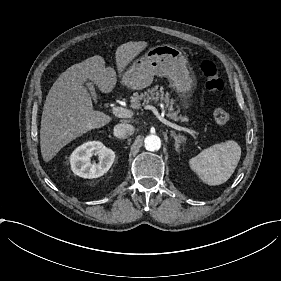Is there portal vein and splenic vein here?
Instances as JSON below:
<instances>
[{
  "label": "portal vein and splenic vein",
  "mask_w": 281,
  "mask_h": 281,
  "mask_svg": "<svg viewBox=\"0 0 281 281\" xmlns=\"http://www.w3.org/2000/svg\"><path fill=\"white\" fill-rule=\"evenodd\" d=\"M144 109L151 110L156 115V117L158 119H160L165 125L173 128V130H175L177 132L179 131L184 134L187 133L189 135H192V137H194V138L198 137V135H199L198 132H196L193 129H190L188 127L185 128L183 126L180 127V125H178L176 123L174 124L173 121L166 120L165 118H163V116L161 117L160 114L158 113V110L152 105H146L144 107ZM112 112L118 118H131L133 116V113L130 109L118 107V106L113 107ZM193 142L195 143V147L197 148V150H201V147H199V144H198V140L193 139Z\"/></svg>",
  "instance_id": "obj_1"
}]
</instances>
